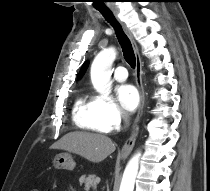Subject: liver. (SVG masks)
I'll list each match as a JSON object with an SVG mask.
<instances>
[{"mask_svg": "<svg viewBox=\"0 0 210 191\" xmlns=\"http://www.w3.org/2000/svg\"><path fill=\"white\" fill-rule=\"evenodd\" d=\"M51 148L73 152L94 163L103 161L116 149L109 137L89 132H70Z\"/></svg>", "mask_w": 210, "mask_h": 191, "instance_id": "liver-1", "label": "liver"}]
</instances>
